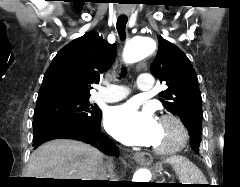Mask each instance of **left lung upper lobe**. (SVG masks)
<instances>
[{
    "label": "left lung upper lobe",
    "instance_id": "1",
    "mask_svg": "<svg viewBox=\"0 0 240 187\" xmlns=\"http://www.w3.org/2000/svg\"><path fill=\"white\" fill-rule=\"evenodd\" d=\"M158 40L159 52L151 64V72L161 82H166L168 87L160 93L163 98L161 102L168 111L182 120L190 133L192 149L198 152L203 112L197 74L186 55L176 45L161 36Z\"/></svg>",
    "mask_w": 240,
    "mask_h": 187
}]
</instances>
